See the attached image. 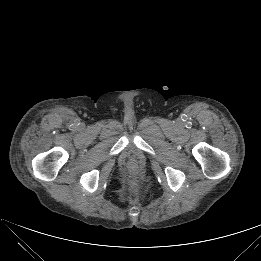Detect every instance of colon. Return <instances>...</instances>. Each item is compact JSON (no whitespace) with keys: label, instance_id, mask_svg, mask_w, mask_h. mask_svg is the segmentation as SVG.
<instances>
[{"label":"colon","instance_id":"5ec220e1","mask_svg":"<svg viewBox=\"0 0 261 261\" xmlns=\"http://www.w3.org/2000/svg\"><path fill=\"white\" fill-rule=\"evenodd\" d=\"M131 178H132V180H135L136 175L133 173V174L131 175Z\"/></svg>","mask_w":261,"mask_h":261}]
</instances>
